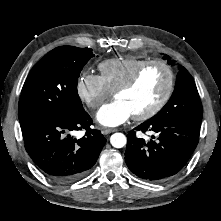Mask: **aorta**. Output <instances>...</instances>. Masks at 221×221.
<instances>
[{
    "instance_id": "1",
    "label": "aorta",
    "mask_w": 221,
    "mask_h": 221,
    "mask_svg": "<svg viewBox=\"0 0 221 221\" xmlns=\"http://www.w3.org/2000/svg\"><path fill=\"white\" fill-rule=\"evenodd\" d=\"M127 139L123 133H114L110 138V143L115 148H122L126 145Z\"/></svg>"
}]
</instances>
